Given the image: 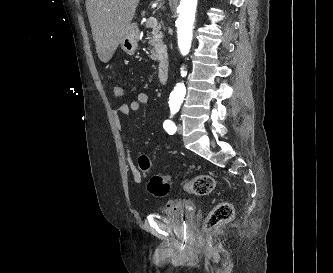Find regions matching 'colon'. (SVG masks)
Segmentation results:
<instances>
[{
    "label": "colon",
    "mask_w": 333,
    "mask_h": 273,
    "mask_svg": "<svg viewBox=\"0 0 333 273\" xmlns=\"http://www.w3.org/2000/svg\"><path fill=\"white\" fill-rule=\"evenodd\" d=\"M112 95L115 99L124 98V90L121 86L115 85L112 88ZM137 167L142 174H148L151 163L147 156L140 155L137 159ZM171 176H152L147 184L148 191L155 196L162 197L168 194L170 189ZM217 186L216 179L211 175H198L183 185L185 192L205 196L210 194ZM234 216V208L229 202L217 204L204 221L203 229L206 233H212L220 225L229 222Z\"/></svg>",
    "instance_id": "obj_1"
}]
</instances>
